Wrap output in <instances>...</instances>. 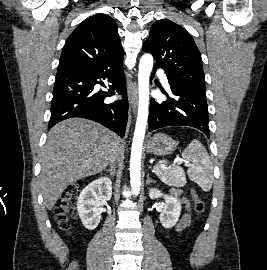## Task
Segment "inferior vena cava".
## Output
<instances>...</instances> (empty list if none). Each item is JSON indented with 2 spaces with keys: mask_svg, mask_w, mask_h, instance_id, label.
<instances>
[{
  "mask_svg": "<svg viewBox=\"0 0 267 270\" xmlns=\"http://www.w3.org/2000/svg\"><path fill=\"white\" fill-rule=\"evenodd\" d=\"M121 149L114 147L112 150V156L110 159V168L115 166V161L120 154Z\"/></svg>",
  "mask_w": 267,
  "mask_h": 270,
  "instance_id": "602c4592",
  "label": "inferior vena cava"
}]
</instances>
